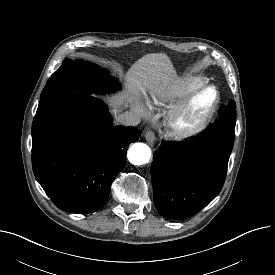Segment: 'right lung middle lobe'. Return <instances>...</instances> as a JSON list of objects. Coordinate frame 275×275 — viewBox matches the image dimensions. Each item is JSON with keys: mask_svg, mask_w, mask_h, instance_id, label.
I'll return each instance as SVG.
<instances>
[{"mask_svg": "<svg viewBox=\"0 0 275 275\" xmlns=\"http://www.w3.org/2000/svg\"><path fill=\"white\" fill-rule=\"evenodd\" d=\"M114 88L118 89L119 84L109 76L106 70H101L90 62L73 61L66 58L43 89L37 112L55 100L62 92L75 91L88 95L93 92H110Z\"/></svg>", "mask_w": 275, "mask_h": 275, "instance_id": "1", "label": "right lung middle lobe"}]
</instances>
